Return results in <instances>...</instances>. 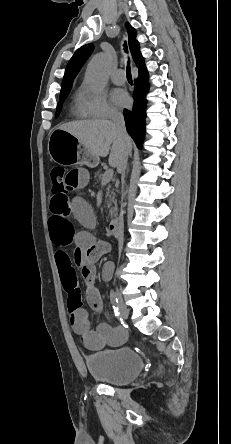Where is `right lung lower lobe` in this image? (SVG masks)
<instances>
[{
  "label": "right lung lower lobe",
  "mask_w": 231,
  "mask_h": 444,
  "mask_svg": "<svg viewBox=\"0 0 231 444\" xmlns=\"http://www.w3.org/2000/svg\"><path fill=\"white\" fill-rule=\"evenodd\" d=\"M147 79V69L139 71V77L135 81V103L133 105V109L132 111H124L127 131L132 136L138 147L141 146L145 135V107L147 103L145 96L149 88V84L146 82Z\"/></svg>",
  "instance_id": "98d812e1"
}]
</instances>
